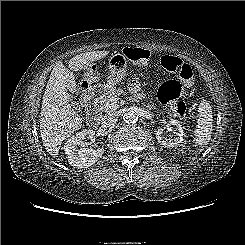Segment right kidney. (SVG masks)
Wrapping results in <instances>:
<instances>
[{
	"instance_id": "right-kidney-1",
	"label": "right kidney",
	"mask_w": 245,
	"mask_h": 245,
	"mask_svg": "<svg viewBox=\"0 0 245 245\" xmlns=\"http://www.w3.org/2000/svg\"><path fill=\"white\" fill-rule=\"evenodd\" d=\"M93 130H83L73 135L64 145V151L71 166L76 168H88L97 162L104 154V147L97 149L85 148L86 138L92 139L94 136Z\"/></svg>"
}]
</instances>
